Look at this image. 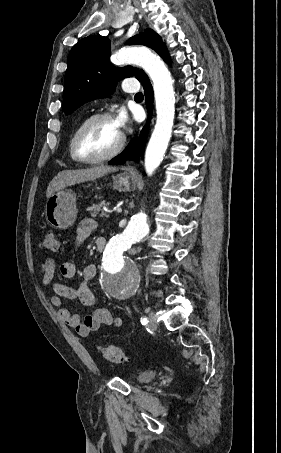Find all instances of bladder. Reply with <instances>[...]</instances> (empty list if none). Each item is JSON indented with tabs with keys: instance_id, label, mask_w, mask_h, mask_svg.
Returning <instances> with one entry per match:
<instances>
[{
	"instance_id": "bladder-1",
	"label": "bladder",
	"mask_w": 281,
	"mask_h": 453,
	"mask_svg": "<svg viewBox=\"0 0 281 453\" xmlns=\"http://www.w3.org/2000/svg\"><path fill=\"white\" fill-rule=\"evenodd\" d=\"M156 373L154 371H143L136 376V381L139 383H145L152 380Z\"/></svg>"
}]
</instances>
